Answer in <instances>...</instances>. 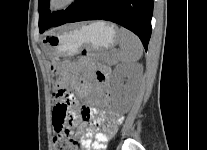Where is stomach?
Returning <instances> with one entry per match:
<instances>
[{"label":"stomach","instance_id":"obj_1","mask_svg":"<svg viewBox=\"0 0 207 150\" xmlns=\"http://www.w3.org/2000/svg\"><path fill=\"white\" fill-rule=\"evenodd\" d=\"M118 33L114 24L105 21H94L84 25H68L58 31L46 34L43 42L50 59V70L53 77L60 79L63 65L58 57H72L83 48L90 52L103 53L117 41Z\"/></svg>","mask_w":207,"mask_h":150}]
</instances>
